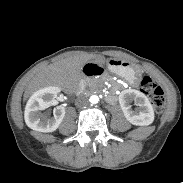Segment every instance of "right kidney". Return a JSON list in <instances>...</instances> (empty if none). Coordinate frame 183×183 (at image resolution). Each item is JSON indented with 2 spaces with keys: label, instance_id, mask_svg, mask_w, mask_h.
<instances>
[{
  "label": "right kidney",
  "instance_id": "obj_1",
  "mask_svg": "<svg viewBox=\"0 0 183 183\" xmlns=\"http://www.w3.org/2000/svg\"><path fill=\"white\" fill-rule=\"evenodd\" d=\"M58 92V87L49 86L35 92L30 97L24 113L25 122L29 128L39 132H53L59 127L65 116L64 107L57 106L52 117L42 114V110L53 104Z\"/></svg>",
  "mask_w": 183,
  "mask_h": 183
}]
</instances>
